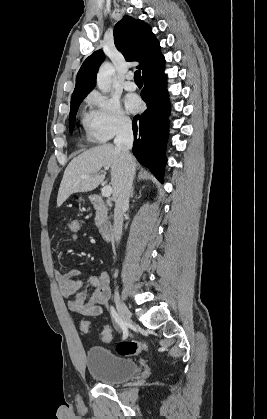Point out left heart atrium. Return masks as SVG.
Segmentation results:
<instances>
[{"mask_svg":"<svg viewBox=\"0 0 267 419\" xmlns=\"http://www.w3.org/2000/svg\"><path fill=\"white\" fill-rule=\"evenodd\" d=\"M125 105L129 112L135 113L141 107V101L136 95H129L125 99Z\"/></svg>","mask_w":267,"mask_h":419,"instance_id":"obj_1","label":"left heart atrium"}]
</instances>
